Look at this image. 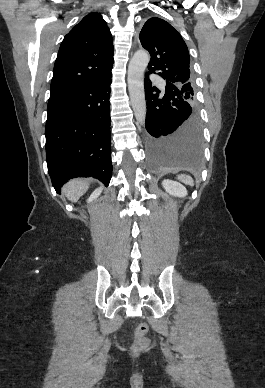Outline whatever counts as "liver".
<instances>
[{
	"label": "liver",
	"instance_id": "liver-1",
	"mask_svg": "<svg viewBox=\"0 0 265 388\" xmlns=\"http://www.w3.org/2000/svg\"><path fill=\"white\" fill-rule=\"evenodd\" d=\"M89 188L87 180H70L63 186V194L70 202H77Z\"/></svg>",
	"mask_w": 265,
	"mask_h": 388
}]
</instances>
